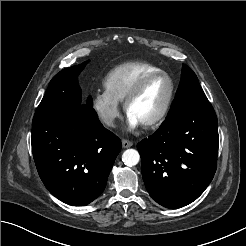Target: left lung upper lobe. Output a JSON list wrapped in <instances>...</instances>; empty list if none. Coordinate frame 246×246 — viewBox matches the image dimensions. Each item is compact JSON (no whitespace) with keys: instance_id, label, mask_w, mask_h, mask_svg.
Wrapping results in <instances>:
<instances>
[{"instance_id":"1","label":"left lung upper lobe","mask_w":246,"mask_h":246,"mask_svg":"<svg viewBox=\"0 0 246 246\" xmlns=\"http://www.w3.org/2000/svg\"><path fill=\"white\" fill-rule=\"evenodd\" d=\"M207 101L208 99L199 84L197 76L187 65L183 64L176 97L166 118L171 117L184 108Z\"/></svg>"}]
</instances>
